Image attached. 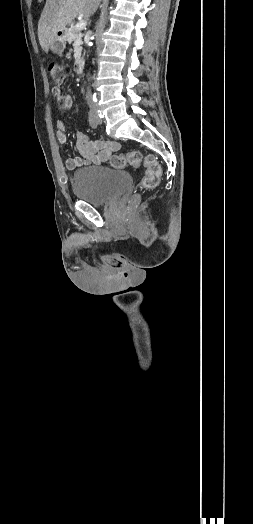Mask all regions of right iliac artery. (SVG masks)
Returning <instances> with one entry per match:
<instances>
[{"instance_id":"right-iliac-artery-1","label":"right iliac artery","mask_w":253,"mask_h":524,"mask_svg":"<svg viewBox=\"0 0 253 524\" xmlns=\"http://www.w3.org/2000/svg\"><path fill=\"white\" fill-rule=\"evenodd\" d=\"M88 121H89L90 126L93 129L97 128L98 123H97L96 117H95V115H94V113L92 111L88 112Z\"/></svg>"}]
</instances>
